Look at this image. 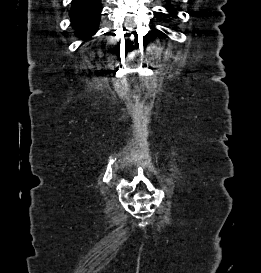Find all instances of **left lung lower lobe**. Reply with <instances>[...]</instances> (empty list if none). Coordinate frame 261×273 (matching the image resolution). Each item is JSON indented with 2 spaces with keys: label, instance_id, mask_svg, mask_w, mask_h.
<instances>
[{
  "label": "left lung lower lobe",
  "instance_id": "left-lung-lower-lobe-1",
  "mask_svg": "<svg viewBox=\"0 0 261 273\" xmlns=\"http://www.w3.org/2000/svg\"><path fill=\"white\" fill-rule=\"evenodd\" d=\"M167 9L169 11V16H174L176 14V12L174 11V9L172 8V6L168 3Z\"/></svg>",
  "mask_w": 261,
  "mask_h": 273
}]
</instances>
